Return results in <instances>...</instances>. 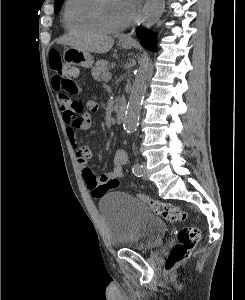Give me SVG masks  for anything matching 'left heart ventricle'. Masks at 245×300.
I'll list each match as a JSON object with an SVG mask.
<instances>
[{"label": "left heart ventricle", "mask_w": 245, "mask_h": 300, "mask_svg": "<svg viewBox=\"0 0 245 300\" xmlns=\"http://www.w3.org/2000/svg\"><path fill=\"white\" fill-rule=\"evenodd\" d=\"M101 16L111 27L121 25L131 17L123 0H102Z\"/></svg>", "instance_id": "left-heart-ventricle-1"}]
</instances>
